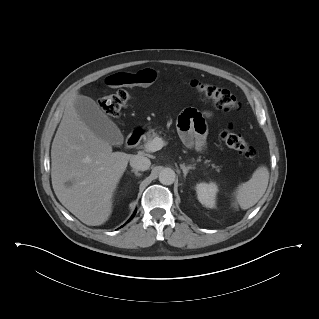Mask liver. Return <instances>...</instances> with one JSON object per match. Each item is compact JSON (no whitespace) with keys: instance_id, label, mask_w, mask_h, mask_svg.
<instances>
[{"instance_id":"6515ba94","label":"liver","mask_w":319,"mask_h":319,"mask_svg":"<svg viewBox=\"0 0 319 319\" xmlns=\"http://www.w3.org/2000/svg\"><path fill=\"white\" fill-rule=\"evenodd\" d=\"M77 94L66 103L51 148L53 190L61 204L89 226L104 224L112 198L132 155L112 152L80 119L74 107ZM73 182L66 186L67 182Z\"/></svg>"}]
</instances>
